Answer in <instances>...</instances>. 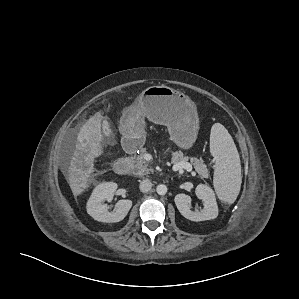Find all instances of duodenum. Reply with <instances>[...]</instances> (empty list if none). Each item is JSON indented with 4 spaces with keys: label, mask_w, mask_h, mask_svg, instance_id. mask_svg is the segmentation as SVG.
<instances>
[{
    "label": "duodenum",
    "mask_w": 299,
    "mask_h": 299,
    "mask_svg": "<svg viewBox=\"0 0 299 299\" xmlns=\"http://www.w3.org/2000/svg\"><path fill=\"white\" fill-rule=\"evenodd\" d=\"M124 147L128 153H134L136 150L135 140L131 137L125 138ZM114 171L117 175H126L128 173V161L125 159L118 160L114 165Z\"/></svg>",
    "instance_id": "1"
}]
</instances>
